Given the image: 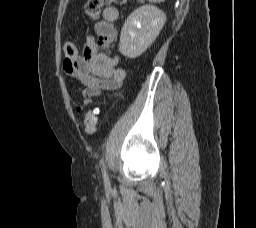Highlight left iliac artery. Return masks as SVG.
<instances>
[{"label":"left iliac artery","instance_id":"1","mask_svg":"<svg viewBox=\"0 0 256 228\" xmlns=\"http://www.w3.org/2000/svg\"><path fill=\"white\" fill-rule=\"evenodd\" d=\"M101 164H102V173H103L104 183L106 186H110V180L107 173L106 165L104 161H102Z\"/></svg>","mask_w":256,"mask_h":228}]
</instances>
